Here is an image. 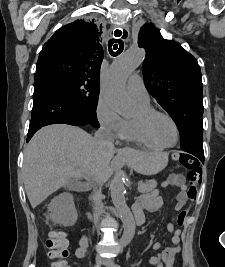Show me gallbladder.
<instances>
[{
    "label": "gallbladder",
    "mask_w": 225,
    "mask_h": 267,
    "mask_svg": "<svg viewBox=\"0 0 225 267\" xmlns=\"http://www.w3.org/2000/svg\"><path fill=\"white\" fill-rule=\"evenodd\" d=\"M64 187H65V188L72 189V188H75L76 186H75V184H73V183L67 182L66 184H64Z\"/></svg>",
    "instance_id": "gallbladder-1"
}]
</instances>
